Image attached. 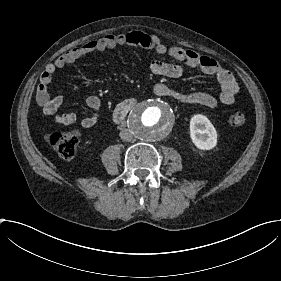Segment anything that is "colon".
<instances>
[{
    "label": "colon",
    "mask_w": 281,
    "mask_h": 281,
    "mask_svg": "<svg viewBox=\"0 0 281 281\" xmlns=\"http://www.w3.org/2000/svg\"><path fill=\"white\" fill-rule=\"evenodd\" d=\"M245 114L240 110L231 113L230 122L233 126L240 127L245 123ZM49 144L65 159H72L76 154L79 143L78 136L73 132L58 131L49 136Z\"/></svg>",
    "instance_id": "1"
}]
</instances>
